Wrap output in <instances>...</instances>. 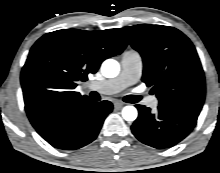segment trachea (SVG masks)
<instances>
[{"instance_id": "obj_1", "label": "trachea", "mask_w": 220, "mask_h": 173, "mask_svg": "<svg viewBox=\"0 0 220 173\" xmlns=\"http://www.w3.org/2000/svg\"><path fill=\"white\" fill-rule=\"evenodd\" d=\"M142 99V96L138 95H128L124 98V101L127 103H137Z\"/></svg>"}]
</instances>
